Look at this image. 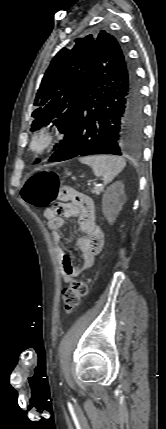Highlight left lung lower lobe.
Returning <instances> with one entry per match:
<instances>
[{
  "label": "left lung lower lobe",
  "instance_id": "1",
  "mask_svg": "<svg viewBox=\"0 0 166 429\" xmlns=\"http://www.w3.org/2000/svg\"><path fill=\"white\" fill-rule=\"evenodd\" d=\"M96 42L89 78L50 162L139 151L143 102L134 68L112 35L100 32Z\"/></svg>",
  "mask_w": 166,
  "mask_h": 429
}]
</instances>
